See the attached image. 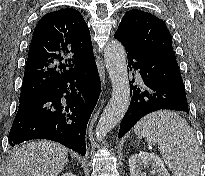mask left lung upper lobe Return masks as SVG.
<instances>
[{"instance_id": "5c2ea615", "label": "left lung upper lobe", "mask_w": 205, "mask_h": 176, "mask_svg": "<svg viewBox=\"0 0 205 176\" xmlns=\"http://www.w3.org/2000/svg\"><path fill=\"white\" fill-rule=\"evenodd\" d=\"M115 34L139 50L157 57L175 59L172 37L166 24L151 13L137 9L128 11Z\"/></svg>"}]
</instances>
